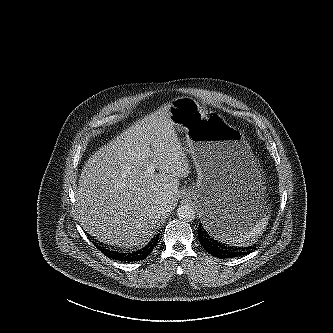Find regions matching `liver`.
<instances>
[{"label":"liver","instance_id":"liver-1","mask_svg":"<svg viewBox=\"0 0 333 333\" xmlns=\"http://www.w3.org/2000/svg\"><path fill=\"white\" fill-rule=\"evenodd\" d=\"M170 116L167 105L144 117L96 151L82 169L76 212L84 230L99 241L124 248L144 245L160 218L157 206L164 204L170 213L177 205L179 179L190 168Z\"/></svg>","mask_w":333,"mask_h":333}]
</instances>
